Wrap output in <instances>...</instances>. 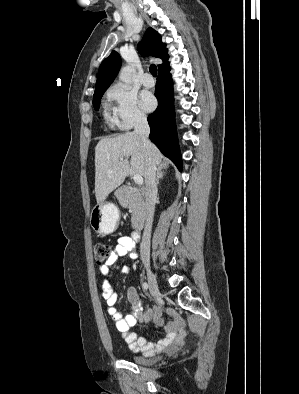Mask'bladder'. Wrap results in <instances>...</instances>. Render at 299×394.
<instances>
[{
  "label": "bladder",
  "instance_id": "bladder-1",
  "mask_svg": "<svg viewBox=\"0 0 299 394\" xmlns=\"http://www.w3.org/2000/svg\"><path fill=\"white\" fill-rule=\"evenodd\" d=\"M132 360L138 365H150L154 363L153 359L147 358L142 355H132Z\"/></svg>",
  "mask_w": 299,
  "mask_h": 394
}]
</instances>
